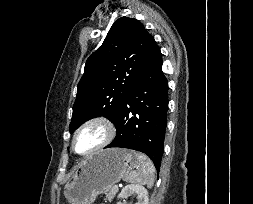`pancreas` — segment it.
<instances>
[{
	"mask_svg": "<svg viewBox=\"0 0 253 204\" xmlns=\"http://www.w3.org/2000/svg\"><path fill=\"white\" fill-rule=\"evenodd\" d=\"M118 192V189H115L114 186H112L107 192H106V199L108 201H111L116 193Z\"/></svg>",
	"mask_w": 253,
	"mask_h": 204,
	"instance_id": "pancreas-1",
	"label": "pancreas"
}]
</instances>
